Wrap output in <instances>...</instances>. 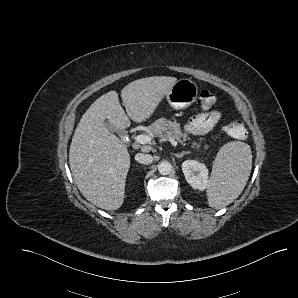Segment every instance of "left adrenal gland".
Segmentation results:
<instances>
[{
    "mask_svg": "<svg viewBox=\"0 0 298 298\" xmlns=\"http://www.w3.org/2000/svg\"><path fill=\"white\" fill-rule=\"evenodd\" d=\"M189 151H181L180 153H176L175 157L177 158H181L184 154H189Z\"/></svg>",
    "mask_w": 298,
    "mask_h": 298,
    "instance_id": "obj_1",
    "label": "left adrenal gland"
}]
</instances>
